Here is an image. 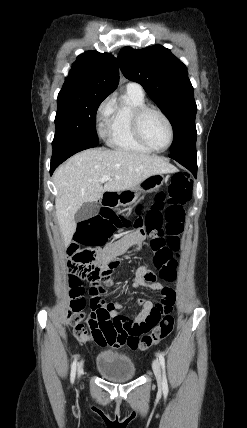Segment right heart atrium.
Listing matches in <instances>:
<instances>
[{"label": "right heart atrium", "instance_id": "obj_1", "mask_svg": "<svg viewBox=\"0 0 247 428\" xmlns=\"http://www.w3.org/2000/svg\"><path fill=\"white\" fill-rule=\"evenodd\" d=\"M112 102L110 99L104 100L97 109V119L100 123V133H106L107 122L111 114Z\"/></svg>", "mask_w": 247, "mask_h": 428}]
</instances>
